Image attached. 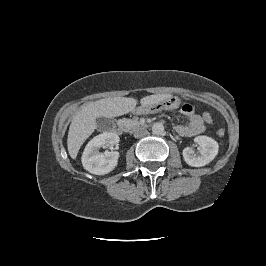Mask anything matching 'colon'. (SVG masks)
Wrapping results in <instances>:
<instances>
[{
    "label": "colon",
    "mask_w": 266,
    "mask_h": 266,
    "mask_svg": "<svg viewBox=\"0 0 266 266\" xmlns=\"http://www.w3.org/2000/svg\"><path fill=\"white\" fill-rule=\"evenodd\" d=\"M202 118H203L204 122H206L208 124L213 122V117L208 112H204L203 115H202ZM224 134H225V130L224 129L221 128V129L217 130V135L218 136L222 137V136H224Z\"/></svg>",
    "instance_id": "5ec220e1"
}]
</instances>
